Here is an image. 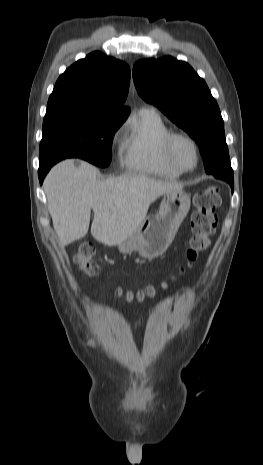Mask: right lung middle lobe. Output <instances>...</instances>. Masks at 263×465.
Segmentation results:
<instances>
[{
	"instance_id": "obj_1",
	"label": "right lung middle lobe",
	"mask_w": 263,
	"mask_h": 465,
	"mask_svg": "<svg viewBox=\"0 0 263 465\" xmlns=\"http://www.w3.org/2000/svg\"><path fill=\"white\" fill-rule=\"evenodd\" d=\"M128 113L76 105L47 107L40 143L39 167L78 157L107 167L114 133Z\"/></svg>"
}]
</instances>
